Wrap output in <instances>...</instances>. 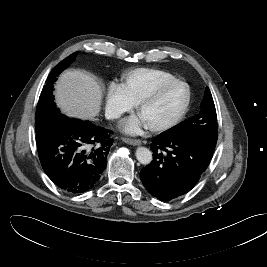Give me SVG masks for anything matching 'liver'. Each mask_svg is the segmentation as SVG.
I'll list each match as a JSON object with an SVG mask.
<instances>
[{"label":"liver","mask_w":267,"mask_h":267,"mask_svg":"<svg viewBox=\"0 0 267 267\" xmlns=\"http://www.w3.org/2000/svg\"><path fill=\"white\" fill-rule=\"evenodd\" d=\"M55 89L56 102L68 116L93 120L99 114L102 88L88 73L66 71L59 77Z\"/></svg>","instance_id":"liver-1"}]
</instances>
